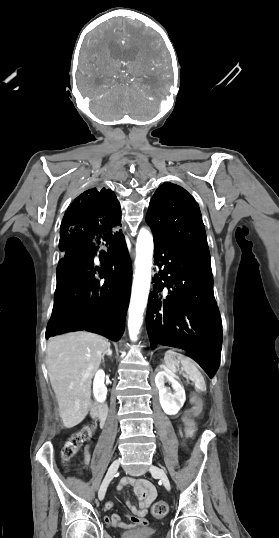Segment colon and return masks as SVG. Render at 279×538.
I'll return each mask as SVG.
<instances>
[{
    "instance_id": "1",
    "label": "colon",
    "mask_w": 279,
    "mask_h": 538,
    "mask_svg": "<svg viewBox=\"0 0 279 538\" xmlns=\"http://www.w3.org/2000/svg\"><path fill=\"white\" fill-rule=\"evenodd\" d=\"M193 406L191 409L192 416H196L202 409V402L200 397H193ZM186 434L189 438H195L196 427L191 418L186 420L185 423ZM94 426L88 425L75 432L66 442L63 450L62 457L65 461H68L74 457L77 451L82 445L89 442L93 436ZM168 512V504L165 501H157L152 506V514L156 518H163Z\"/></svg>"
}]
</instances>
